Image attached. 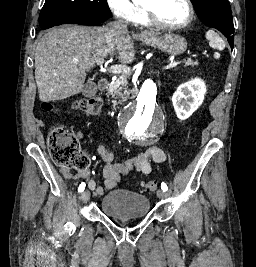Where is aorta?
<instances>
[{
  "instance_id": "aorta-1",
  "label": "aorta",
  "mask_w": 256,
  "mask_h": 267,
  "mask_svg": "<svg viewBox=\"0 0 256 267\" xmlns=\"http://www.w3.org/2000/svg\"><path fill=\"white\" fill-rule=\"evenodd\" d=\"M143 85L142 95L125 108L124 117H118L119 127H161V122H165L162 108L154 104L157 97L154 82L144 81ZM122 133H128L133 143H160L159 128H122Z\"/></svg>"
}]
</instances>
